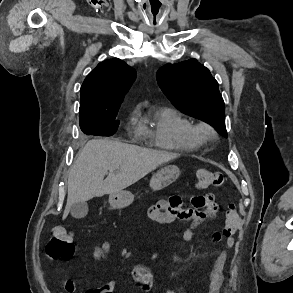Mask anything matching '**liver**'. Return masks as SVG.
<instances>
[{
	"label": "liver",
	"mask_w": 293,
	"mask_h": 293,
	"mask_svg": "<svg viewBox=\"0 0 293 293\" xmlns=\"http://www.w3.org/2000/svg\"><path fill=\"white\" fill-rule=\"evenodd\" d=\"M178 154L106 139H94L78 152L68 176L65 219L74 203L115 194ZM105 175H108L104 180Z\"/></svg>",
	"instance_id": "obj_1"
}]
</instances>
